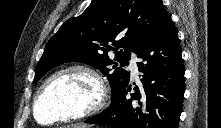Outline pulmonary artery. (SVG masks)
Here are the masks:
<instances>
[{"instance_id":"e3ab8cb5","label":"pulmonary artery","mask_w":221,"mask_h":128,"mask_svg":"<svg viewBox=\"0 0 221 128\" xmlns=\"http://www.w3.org/2000/svg\"><path fill=\"white\" fill-rule=\"evenodd\" d=\"M129 68L132 71L133 77L137 78L139 75L138 72V65H137V58L132 56L129 61Z\"/></svg>"}]
</instances>
